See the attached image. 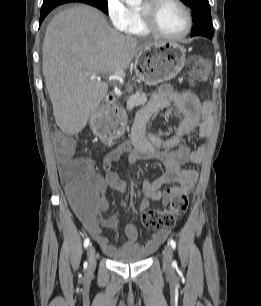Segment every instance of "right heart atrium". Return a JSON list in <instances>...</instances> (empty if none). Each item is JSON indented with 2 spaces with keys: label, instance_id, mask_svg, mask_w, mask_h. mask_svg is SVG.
<instances>
[{
  "label": "right heart atrium",
  "instance_id": "obj_1",
  "mask_svg": "<svg viewBox=\"0 0 261 306\" xmlns=\"http://www.w3.org/2000/svg\"><path fill=\"white\" fill-rule=\"evenodd\" d=\"M106 12L112 26L118 31H124L128 23V8L123 0H106Z\"/></svg>",
  "mask_w": 261,
  "mask_h": 306
}]
</instances>
